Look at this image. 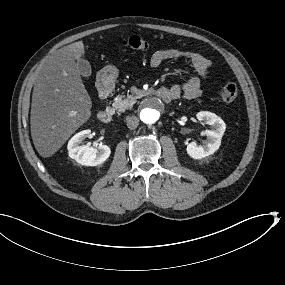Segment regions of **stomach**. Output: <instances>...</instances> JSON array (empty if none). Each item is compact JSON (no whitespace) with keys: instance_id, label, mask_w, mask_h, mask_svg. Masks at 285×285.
Returning a JSON list of instances; mask_svg holds the SVG:
<instances>
[{"instance_id":"1","label":"stomach","mask_w":285,"mask_h":285,"mask_svg":"<svg viewBox=\"0 0 285 285\" xmlns=\"http://www.w3.org/2000/svg\"><path fill=\"white\" fill-rule=\"evenodd\" d=\"M118 76V71L116 68L109 67L102 75L98 74L97 79L102 85L107 86L109 83H114Z\"/></svg>"}]
</instances>
